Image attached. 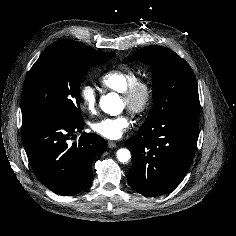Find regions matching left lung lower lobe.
I'll return each mask as SVG.
<instances>
[{"mask_svg": "<svg viewBox=\"0 0 236 236\" xmlns=\"http://www.w3.org/2000/svg\"><path fill=\"white\" fill-rule=\"evenodd\" d=\"M199 136V114L177 113L141 126L125 144L132 153L128 183L146 197L166 194L185 177Z\"/></svg>", "mask_w": 236, "mask_h": 236, "instance_id": "1", "label": "left lung lower lobe"}]
</instances>
